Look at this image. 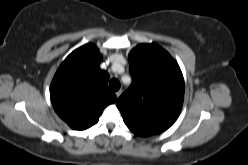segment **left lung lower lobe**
<instances>
[{"label": "left lung lower lobe", "instance_id": "0a47b994", "mask_svg": "<svg viewBox=\"0 0 248 165\" xmlns=\"http://www.w3.org/2000/svg\"><path fill=\"white\" fill-rule=\"evenodd\" d=\"M133 133H135L136 135H139V136H144V137H146V136H150V135H148V134H146V133H143V132H141V131H138V130H135V129H132V128H129Z\"/></svg>", "mask_w": 248, "mask_h": 165}]
</instances>
